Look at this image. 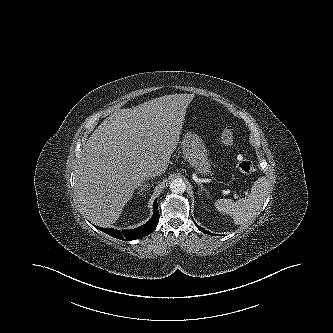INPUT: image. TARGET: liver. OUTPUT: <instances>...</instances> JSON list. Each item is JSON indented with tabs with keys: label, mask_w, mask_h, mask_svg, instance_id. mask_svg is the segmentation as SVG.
Wrapping results in <instances>:
<instances>
[{
	"label": "liver",
	"mask_w": 333,
	"mask_h": 333,
	"mask_svg": "<svg viewBox=\"0 0 333 333\" xmlns=\"http://www.w3.org/2000/svg\"><path fill=\"white\" fill-rule=\"evenodd\" d=\"M193 98H155L115 111L97 127L83 147L74 188L88 220L100 226L115 223L148 171L167 170Z\"/></svg>",
	"instance_id": "6515ba94"
}]
</instances>
